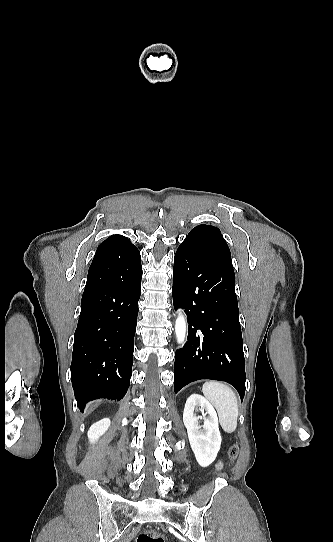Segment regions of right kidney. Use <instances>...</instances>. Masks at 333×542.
Segmentation results:
<instances>
[{"instance_id":"obj_1","label":"right kidney","mask_w":333,"mask_h":542,"mask_svg":"<svg viewBox=\"0 0 333 542\" xmlns=\"http://www.w3.org/2000/svg\"><path fill=\"white\" fill-rule=\"evenodd\" d=\"M110 424L111 422L109 418H103V420H99V422H95V424H92L88 432L89 442H91V444L97 442L98 438H100V436H103V434L107 432Z\"/></svg>"}]
</instances>
